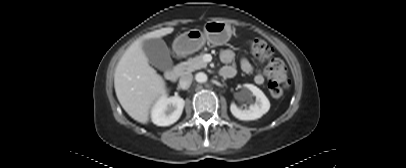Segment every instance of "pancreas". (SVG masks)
<instances>
[{"mask_svg":"<svg viewBox=\"0 0 406 168\" xmlns=\"http://www.w3.org/2000/svg\"><path fill=\"white\" fill-rule=\"evenodd\" d=\"M207 64L203 61V58L201 55L196 56L194 58L188 59L186 62H182L178 65V68L180 69L181 73H189L193 72L195 70L201 69V68H206Z\"/></svg>","mask_w":406,"mask_h":168,"instance_id":"cf45deb5","label":"pancreas"}]
</instances>
